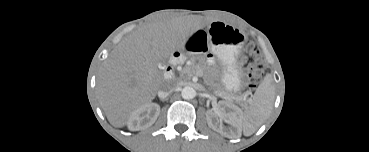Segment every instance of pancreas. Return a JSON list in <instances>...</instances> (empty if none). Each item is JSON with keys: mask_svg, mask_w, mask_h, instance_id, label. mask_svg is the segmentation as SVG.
I'll return each mask as SVG.
<instances>
[{"mask_svg": "<svg viewBox=\"0 0 369 152\" xmlns=\"http://www.w3.org/2000/svg\"><path fill=\"white\" fill-rule=\"evenodd\" d=\"M195 72L198 76L202 77L204 75L203 70L201 68H198ZM204 82L206 85L209 86V89H212L214 91L215 95H221L227 97L228 99H231L228 93L222 90L217 84H214L206 79L204 80Z\"/></svg>", "mask_w": 369, "mask_h": 152, "instance_id": "obj_1", "label": "pancreas"}]
</instances>
